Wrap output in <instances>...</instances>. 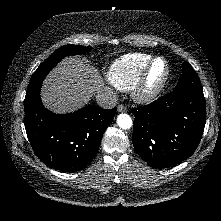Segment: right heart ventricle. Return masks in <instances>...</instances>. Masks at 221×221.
<instances>
[{
	"instance_id": "obj_1",
	"label": "right heart ventricle",
	"mask_w": 221,
	"mask_h": 221,
	"mask_svg": "<svg viewBox=\"0 0 221 221\" xmlns=\"http://www.w3.org/2000/svg\"><path fill=\"white\" fill-rule=\"evenodd\" d=\"M152 58L153 56L145 53L126 54L110 65L107 78L116 88L130 90Z\"/></svg>"
}]
</instances>
